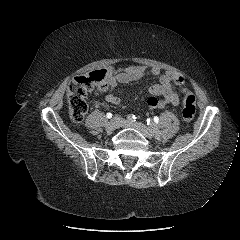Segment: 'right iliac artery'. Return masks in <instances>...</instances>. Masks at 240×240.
Returning a JSON list of instances; mask_svg holds the SVG:
<instances>
[{
	"mask_svg": "<svg viewBox=\"0 0 240 240\" xmlns=\"http://www.w3.org/2000/svg\"><path fill=\"white\" fill-rule=\"evenodd\" d=\"M135 120H136V117H135L134 114H129V115L127 116V121H129V122H134Z\"/></svg>",
	"mask_w": 240,
	"mask_h": 240,
	"instance_id": "obj_1",
	"label": "right iliac artery"
}]
</instances>
